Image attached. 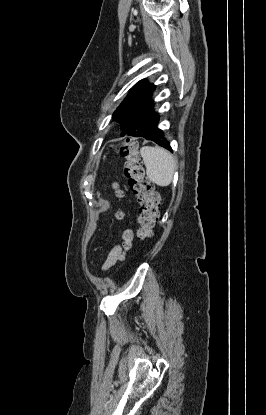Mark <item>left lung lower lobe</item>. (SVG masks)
<instances>
[{"label":"left lung lower lobe","mask_w":266,"mask_h":415,"mask_svg":"<svg viewBox=\"0 0 266 415\" xmlns=\"http://www.w3.org/2000/svg\"><path fill=\"white\" fill-rule=\"evenodd\" d=\"M135 137H144L147 140L154 141L155 143H157L161 147H164L168 150H171L169 141L165 138L163 131L160 130V129H157V130L152 131V132L144 133V134H141V135L135 136Z\"/></svg>","instance_id":"left-lung-lower-lobe-1"}]
</instances>
